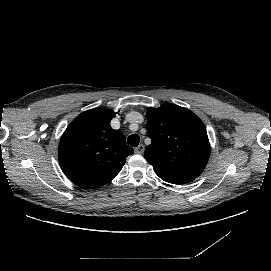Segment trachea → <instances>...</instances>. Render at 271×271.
Segmentation results:
<instances>
[{
    "mask_svg": "<svg viewBox=\"0 0 271 271\" xmlns=\"http://www.w3.org/2000/svg\"><path fill=\"white\" fill-rule=\"evenodd\" d=\"M127 142L129 145L136 147L137 145H139L140 138L137 134H132L128 137Z\"/></svg>",
    "mask_w": 271,
    "mask_h": 271,
    "instance_id": "trachea-1",
    "label": "trachea"
}]
</instances>
